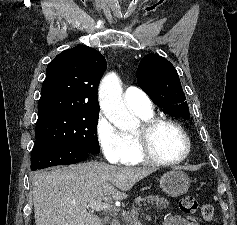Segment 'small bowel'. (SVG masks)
I'll list each match as a JSON object with an SVG mask.
<instances>
[{"label": "small bowel", "instance_id": "obj_1", "mask_svg": "<svg viewBox=\"0 0 237 225\" xmlns=\"http://www.w3.org/2000/svg\"><path fill=\"white\" fill-rule=\"evenodd\" d=\"M163 225H200L196 220L180 215L169 216Z\"/></svg>", "mask_w": 237, "mask_h": 225}]
</instances>
